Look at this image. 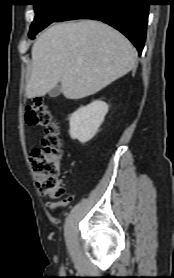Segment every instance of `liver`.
Here are the masks:
<instances>
[{"mask_svg": "<svg viewBox=\"0 0 174 278\" xmlns=\"http://www.w3.org/2000/svg\"><path fill=\"white\" fill-rule=\"evenodd\" d=\"M27 98L43 96L61 83L67 99L95 94L126 75L137 53L116 29L95 20L58 23L33 44Z\"/></svg>", "mask_w": 174, "mask_h": 278, "instance_id": "1", "label": "liver"}]
</instances>
